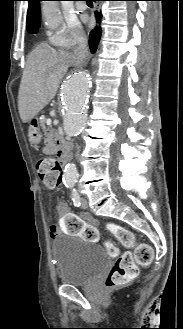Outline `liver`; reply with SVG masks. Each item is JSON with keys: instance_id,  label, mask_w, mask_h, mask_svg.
<instances>
[{"instance_id": "6515ba94", "label": "liver", "mask_w": 183, "mask_h": 329, "mask_svg": "<svg viewBox=\"0 0 183 329\" xmlns=\"http://www.w3.org/2000/svg\"><path fill=\"white\" fill-rule=\"evenodd\" d=\"M68 63H77L74 54L57 55L46 44L32 51L18 94L22 122L31 121L54 98Z\"/></svg>"}]
</instances>
